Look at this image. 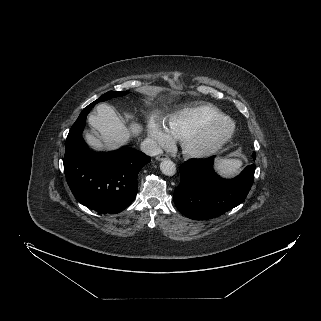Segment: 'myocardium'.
Returning <instances> with one entry per match:
<instances>
[{
  "label": "myocardium",
  "mask_w": 321,
  "mask_h": 321,
  "mask_svg": "<svg viewBox=\"0 0 321 321\" xmlns=\"http://www.w3.org/2000/svg\"><path fill=\"white\" fill-rule=\"evenodd\" d=\"M223 127L222 133L211 143L201 145L200 142L212 131ZM235 133V123L227 116L214 119L199 126L182 141L183 152L193 158H206L219 152L233 137Z\"/></svg>",
  "instance_id": "f54148a6"
}]
</instances>
